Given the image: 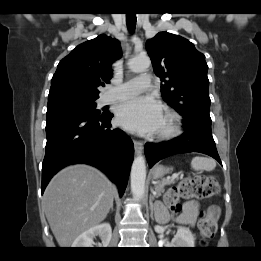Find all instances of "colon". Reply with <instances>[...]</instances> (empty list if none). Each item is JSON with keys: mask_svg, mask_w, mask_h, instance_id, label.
I'll use <instances>...</instances> for the list:
<instances>
[{"mask_svg": "<svg viewBox=\"0 0 261 261\" xmlns=\"http://www.w3.org/2000/svg\"><path fill=\"white\" fill-rule=\"evenodd\" d=\"M219 185L213 176L200 175L183 179L178 185L170 188L164 195V203L172 213L182 209V200H204L216 196ZM199 228L202 243L214 238L217 231L216 213L214 207L204 211L199 218Z\"/></svg>", "mask_w": 261, "mask_h": 261, "instance_id": "obj_1", "label": "colon"}]
</instances>
